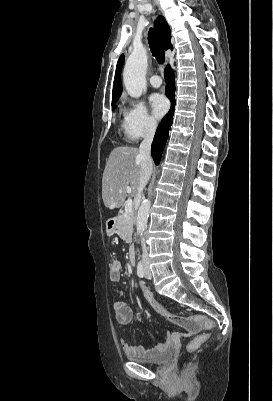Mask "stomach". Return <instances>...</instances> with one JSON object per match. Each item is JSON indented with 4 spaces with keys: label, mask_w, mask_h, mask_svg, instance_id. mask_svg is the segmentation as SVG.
<instances>
[{
    "label": "stomach",
    "mask_w": 273,
    "mask_h": 401,
    "mask_svg": "<svg viewBox=\"0 0 273 401\" xmlns=\"http://www.w3.org/2000/svg\"><path fill=\"white\" fill-rule=\"evenodd\" d=\"M111 233H113V229H111V231L108 229V235H111Z\"/></svg>",
    "instance_id": "0dacf381"
}]
</instances>
